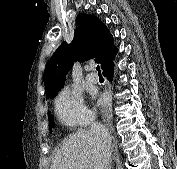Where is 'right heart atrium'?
<instances>
[{"label": "right heart atrium", "mask_w": 177, "mask_h": 169, "mask_svg": "<svg viewBox=\"0 0 177 169\" xmlns=\"http://www.w3.org/2000/svg\"><path fill=\"white\" fill-rule=\"evenodd\" d=\"M54 106L59 122L68 128L85 126L93 118L92 112L85 106L81 94L67 87L59 92Z\"/></svg>", "instance_id": "right-heart-atrium-1"}]
</instances>
